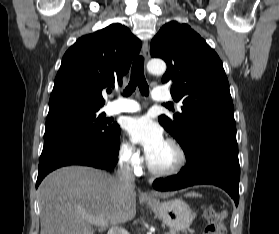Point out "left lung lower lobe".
<instances>
[{"instance_id": "0a47b994", "label": "left lung lower lobe", "mask_w": 279, "mask_h": 234, "mask_svg": "<svg viewBox=\"0 0 279 234\" xmlns=\"http://www.w3.org/2000/svg\"><path fill=\"white\" fill-rule=\"evenodd\" d=\"M187 165L180 173L157 179L153 186L159 191H173L198 184L223 188L238 205L240 166L236 128L212 126L200 131L193 140Z\"/></svg>"}]
</instances>
